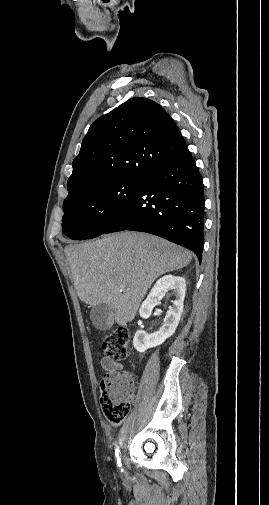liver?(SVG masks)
<instances>
[{"label": "liver", "mask_w": 269, "mask_h": 505, "mask_svg": "<svg viewBox=\"0 0 269 505\" xmlns=\"http://www.w3.org/2000/svg\"><path fill=\"white\" fill-rule=\"evenodd\" d=\"M64 251L80 300L93 306L111 305L113 319L121 326L134 319L156 278L187 266L192 259L181 246L130 231L68 245Z\"/></svg>", "instance_id": "obj_1"}]
</instances>
